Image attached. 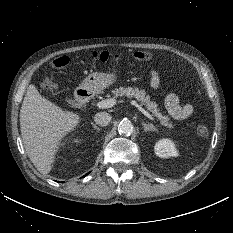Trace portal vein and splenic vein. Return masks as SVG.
<instances>
[{
  "mask_svg": "<svg viewBox=\"0 0 233 233\" xmlns=\"http://www.w3.org/2000/svg\"><path fill=\"white\" fill-rule=\"evenodd\" d=\"M116 103L117 101L114 98L105 99V100L98 102L97 107L101 109L111 108L114 105H116ZM131 104L137 107L139 111H141L146 117L154 121V117L150 113H148L145 109H143L139 104H137L134 100L131 101Z\"/></svg>",
  "mask_w": 233,
  "mask_h": 233,
  "instance_id": "18ae733b",
  "label": "portal vein and splenic vein"
}]
</instances>
